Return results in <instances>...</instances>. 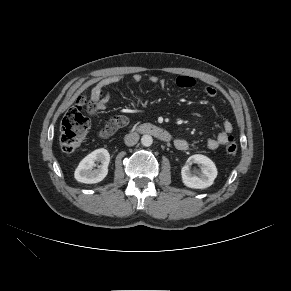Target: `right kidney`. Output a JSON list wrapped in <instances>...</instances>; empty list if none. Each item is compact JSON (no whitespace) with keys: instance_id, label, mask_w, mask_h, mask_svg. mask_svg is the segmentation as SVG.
<instances>
[{"instance_id":"1","label":"right kidney","mask_w":291,"mask_h":291,"mask_svg":"<svg viewBox=\"0 0 291 291\" xmlns=\"http://www.w3.org/2000/svg\"><path fill=\"white\" fill-rule=\"evenodd\" d=\"M96 162H101L98 169H94V167H96ZM109 162V152L104 148L97 149L81 160L75 170L74 177L81 183H98L106 177Z\"/></svg>"}]
</instances>
